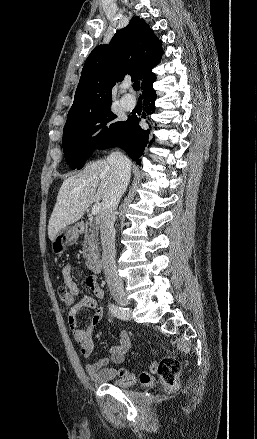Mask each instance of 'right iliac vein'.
<instances>
[{
	"label": "right iliac vein",
	"mask_w": 257,
	"mask_h": 439,
	"mask_svg": "<svg viewBox=\"0 0 257 439\" xmlns=\"http://www.w3.org/2000/svg\"><path fill=\"white\" fill-rule=\"evenodd\" d=\"M113 297L121 306H127L129 304V299L123 291L113 292Z\"/></svg>",
	"instance_id": "63e3f726"
}]
</instances>
